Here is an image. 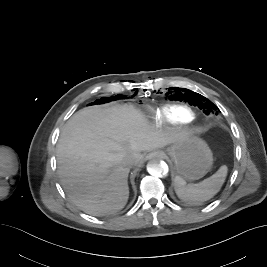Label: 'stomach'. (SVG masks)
Instances as JSON below:
<instances>
[{
    "label": "stomach",
    "instance_id": "stomach-1",
    "mask_svg": "<svg viewBox=\"0 0 267 267\" xmlns=\"http://www.w3.org/2000/svg\"><path fill=\"white\" fill-rule=\"evenodd\" d=\"M177 174L185 180L194 181L205 176L211 169L213 155L207 143L189 134H182L167 149Z\"/></svg>",
    "mask_w": 267,
    "mask_h": 267
}]
</instances>
